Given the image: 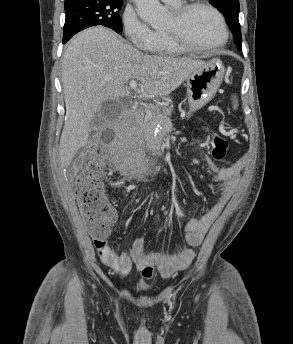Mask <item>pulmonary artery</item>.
Wrapping results in <instances>:
<instances>
[{"mask_svg": "<svg viewBox=\"0 0 293 344\" xmlns=\"http://www.w3.org/2000/svg\"><path fill=\"white\" fill-rule=\"evenodd\" d=\"M162 1L171 5H175L179 3L180 0H162Z\"/></svg>", "mask_w": 293, "mask_h": 344, "instance_id": "obj_1", "label": "pulmonary artery"}]
</instances>
